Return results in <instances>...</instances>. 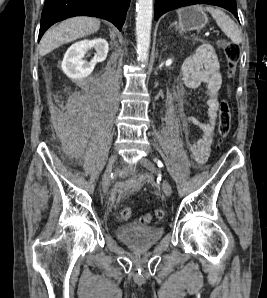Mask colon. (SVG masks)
Listing matches in <instances>:
<instances>
[{"label":"colon","instance_id":"1","mask_svg":"<svg viewBox=\"0 0 267 298\" xmlns=\"http://www.w3.org/2000/svg\"><path fill=\"white\" fill-rule=\"evenodd\" d=\"M219 46L223 49L226 57L228 74H231L238 62L240 56V48L236 43L230 41H221ZM231 129V111L229 103L226 99L221 100L219 106V122L218 134L220 143L229 135ZM132 208L124 207L120 212L123 220H129L132 217ZM165 212L162 209H156L150 214H146L140 218L141 224H148L154 219L161 220L164 218Z\"/></svg>","mask_w":267,"mask_h":298}]
</instances>
